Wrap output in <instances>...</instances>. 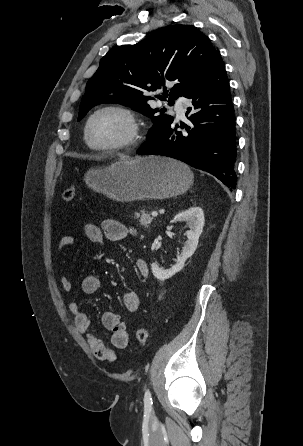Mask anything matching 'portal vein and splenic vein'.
<instances>
[{
    "label": "portal vein and splenic vein",
    "mask_w": 303,
    "mask_h": 446,
    "mask_svg": "<svg viewBox=\"0 0 303 446\" xmlns=\"http://www.w3.org/2000/svg\"><path fill=\"white\" fill-rule=\"evenodd\" d=\"M151 214H152L153 217H157L158 216V213L156 211H152Z\"/></svg>",
    "instance_id": "portal-vein-and-splenic-vein-1"
}]
</instances>
